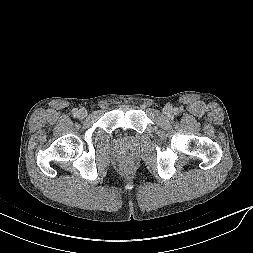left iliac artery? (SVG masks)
<instances>
[{"label": "left iliac artery", "instance_id": "obj_1", "mask_svg": "<svg viewBox=\"0 0 253 253\" xmlns=\"http://www.w3.org/2000/svg\"><path fill=\"white\" fill-rule=\"evenodd\" d=\"M177 112H178L177 110L174 111L175 114H177Z\"/></svg>", "mask_w": 253, "mask_h": 253}]
</instances>
